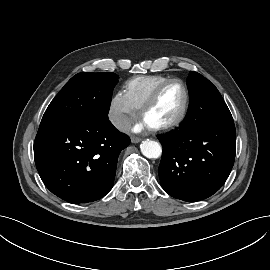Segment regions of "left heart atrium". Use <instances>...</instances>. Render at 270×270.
<instances>
[{
	"mask_svg": "<svg viewBox=\"0 0 270 270\" xmlns=\"http://www.w3.org/2000/svg\"><path fill=\"white\" fill-rule=\"evenodd\" d=\"M150 127L151 126L148 123H146L144 120H141L133 126V130L135 132H141V131L146 130Z\"/></svg>",
	"mask_w": 270,
	"mask_h": 270,
	"instance_id": "39dd6f15",
	"label": "left heart atrium"
}]
</instances>
